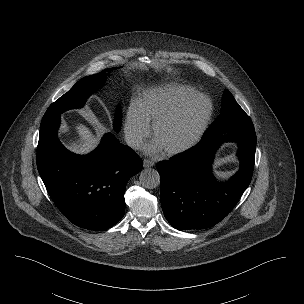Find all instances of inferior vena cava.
Here are the masks:
<instances>
[{
	"label": "inferior vena cava",
	"instance_id": "inferior-vena-cava-1",
	"mask_svg": "<svg viewBox=\"0 0 304 304\" xmlns=\"http://www.w3.org/2000/svg\"><path fill=\"white\" fill-rule=\"evenodd\" d=\"M125 142L131 148L138 149L142 144V139L138 134L127 133L125 134Z\"/></svg>",
	"mask_w": 304,
	"mask_h": 304
}]
</instances>
